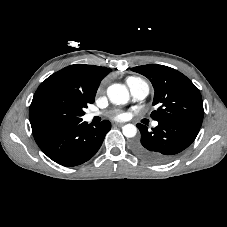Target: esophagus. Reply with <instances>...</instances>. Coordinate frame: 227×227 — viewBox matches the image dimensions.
Masks as SVG:
<instances>
[{
	"mask_svg": "<svg viewBox=\"0 0 227 227\" xmlns=\"http://www.w3.org/2000/svg\"><path fill=\"white\" fill-rule=\"evenodd\" d=\"M115 125L118 126V127H122L124 124L123 123H116Z\"/></svg>",
	"mask_w": 227,
	"mask_h": 227,
	"instance_id": "obj_1",
	"label": "esophagus"
}]
</instances>
